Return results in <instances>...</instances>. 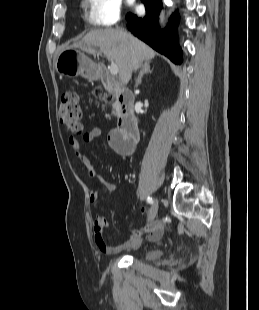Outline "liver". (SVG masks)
<instances>
[{"label":"liver","instance_id":"obj_1","mask_svg":"<svg viewBox=\"0 0 259 310\" xmlns=\"http://www.w3.org/2000/svg\"><path fill=\"white\" fill-rule=\"evenodd\" d=\"M93 52L98 47L108 60L117 64L119 78L123 85L128 84L132 76L133 58L141 64L152 60L156 52L148 45L120 29H96L87 33L80 42L73 44Z\"/></svg>","mask_w":259,"mask_h":310}]
</instances>
